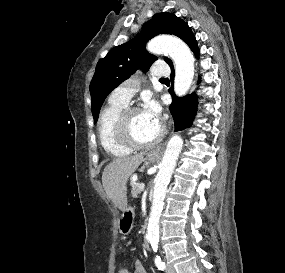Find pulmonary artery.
I'll return each instance as SVG.
<instances>
[{
  "mask_svg": "<svg viewBox=\"0 0 285 273\" xmlns=\"http://www.w3.org/2000/svg\"><path fill=\"white\" fill-rule=\"evenodd\" d=\"M154 76L164 78L169 76L170 68L165 62L157 61L152 69ZM137 89L134 81H128L117 87L111 94L110 100L127 104Z\"/></svg>",
  "mask_w": 285,
  "mask_h": 273,
  "instance_id": "pulmonary-artery-1",
  "label": "pulmonary artery"
}]
</instances>
